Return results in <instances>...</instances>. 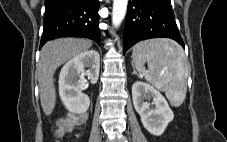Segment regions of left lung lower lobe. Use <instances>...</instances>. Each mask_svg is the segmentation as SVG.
I'll return each instance as SVG.
<instances>
[{"instance_id": "0a47b994", "label": "left lung lower lobe", "mask_w": 227, "mask_h": 142, "mask_svg": "<svg viewBox=\"0 0 227 142\" xmlns=\"http://www.w3.org/2000/svg\"><path fill=\"white\" fill-rule=\"evenodd\" d=\"M158 37L171 38L185 47L170 0H129L123 30L124 53L139 41Z\"/></svg>"}]
</instances>
